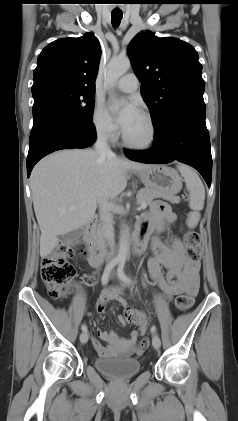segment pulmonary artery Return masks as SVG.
I'll return each instance as SVG.
<instances>
[{"label": "pulmonary artery", "instance_id": "pulmonary-artery-1", "mask_svg": "<svg viewBox=\"0 0 238 421\" xmlns=\"http://www.w3.org/2000/svg\"><path fill=\"white\" fill-rule=\"evenodd\" d=\"M139 85L137 76L134 73H128L122 76L115 84L120 91L131 93L134 92Z\"/></svg>", "mask_w": 238, "mask_h": 421}]
</instances>
